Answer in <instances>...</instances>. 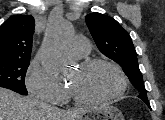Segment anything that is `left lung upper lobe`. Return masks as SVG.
I'll use <instances>...</instances> for the list:
<instances>
[{
    "mask_svg": "<svg viewBox=\"0 0 165 120\" xmlns=\"http://www.w3.org/2000/svg\"><path fill=\"white\" fill-rule=\"evenodd\" d=\"M85 20L100 52L122 67L133 86L140 92L138 97L150 107L130 35L112 17L94 12L86 15Z\"/></svg>",
    "mask_w": 165,
    "mask_h": 120,
    "instance_id": "5c2ea615",
    "label": "left lung upper lobe"
}]
</instances>
